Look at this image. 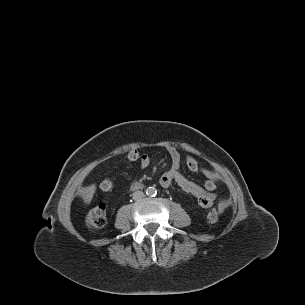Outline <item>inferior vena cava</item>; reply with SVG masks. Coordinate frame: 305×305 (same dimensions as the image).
Wrapping results in <instances>:
<instances>
[{"instance_id": "602c4592", "label": "inferior vena cava", "mask_w": 305, "mask_h": 305, "mask_svg": "<svg viewBox=\"0 0 305 305\" xmlns=\"http://www.w3.org/2000/svg\"><path fill=\"white\" fill-rule=\"evenodd\" d=\"M144 197V193L142 192V191H135L134 193H133V196H132V198L134 199V200H139V199H141V198H143Z\"/></svg>"}]
</instances>
